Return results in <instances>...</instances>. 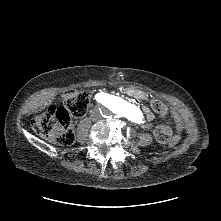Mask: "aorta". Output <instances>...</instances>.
I'll use <instances>...</instances> for the list:
<instances>
[{
  "label": "aorta",
  "instance_id": "obj_1",
  "mask_svg": "<svg viewBox=\"0 0 221 221\" xmlns=\"http://www.w3.org/2000/svg\"><path fill=\"white\" fill-rule=\"evenodd\" d=\"M114 109L120 112L128 120L135 123H140L143 117L142 112L134 106L121 105L119 103H115Z\"/></svg>",
  "mask_w": 221,
  "mask_h": 221
}]
</instances>
